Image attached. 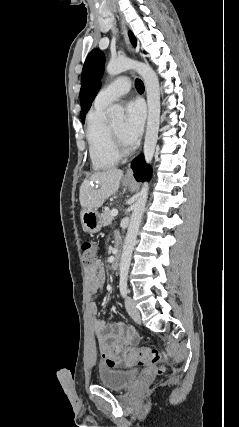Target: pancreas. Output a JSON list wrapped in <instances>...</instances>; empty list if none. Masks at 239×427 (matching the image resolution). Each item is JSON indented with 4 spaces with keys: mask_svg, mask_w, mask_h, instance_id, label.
Returning a JSON list of instances; mask_svg holds the SVG:
<instances>
[{
    "mask_svg": "<svg viewBox=\"0 0 239 427\" xmlns=\"http://www.w3.org/2000/svg\"><path fill=\"white\" fill-rule=\"evenodd\" d=\"M113 217L111 216V211L109 209L104 210L102 214L103 226H108L111 224Z\"/></svg>",
    "mask_w": 239,
    "mask_h": 427,
    "instance_id": "1",
    "label": "pancreas"
}]
</instances>
